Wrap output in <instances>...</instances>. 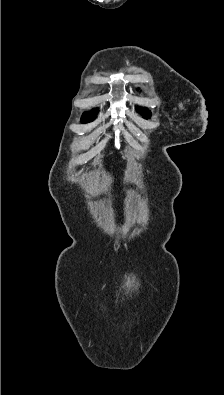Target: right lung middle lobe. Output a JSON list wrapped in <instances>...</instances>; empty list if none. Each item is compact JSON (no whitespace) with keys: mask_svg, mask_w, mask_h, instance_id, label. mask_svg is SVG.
Returning <instances> with one entry per match:
<instances>
[{"mask_svg":"<svg viewBox=\"0 0 224 395\" xmlns=\"http://www.w3.org/2000/svg\"><path fill=\"white\" fill-rule=\"evenodd\" d=\"M95 110L93 112H87L82 116V122L87 123L95 119Z\"/></svg>","mask_w":224,"mask_h":395,"instance_id":"1","label":"right lung middle lobe"}]
</instances>
